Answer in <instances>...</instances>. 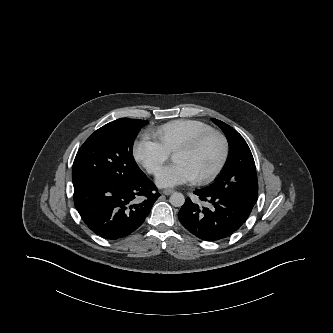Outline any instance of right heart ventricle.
Segmentation results:
<instances>
[{
    "mask_svg": "<svg viewBox=\"0 0 333 333\" xmlns=\"http://www.w3.org/2000/svg\"><path fill=\"white\" fill-rule=\"evenodd\" d=\"M211 130L213 127L201 120L177 119L152 129L150 135L156 138L168 153H173L180 145Z\"/></svg>",
    "mask_w": 333,
    "mask_h": 333,
    "instance_id": "obj_1",
    "label": "right heart ventricle"
}]
</instances>
